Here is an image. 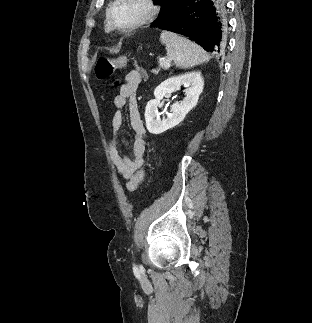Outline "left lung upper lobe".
Instances as JSON below:
<instances>
[{"label":"left lung upper lobe","instance_id":"left-lung-upper-lobe-1","mask_svg":"<svg viewBox=\"0 0 312 323\" xmlns=\"http://www.w3.org/2000/svg\"><path fill=\"white\" fill-rule=\"evenodd\" d=\"M155 4L161 5V11L158 18L154 21L155 26H160L165 22L173 12V6L177 0H153Z\"/></svg>","mask_w":312,"mask_h":323}]
</instances>
